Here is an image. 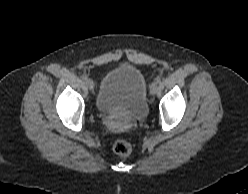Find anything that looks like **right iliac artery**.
<instances>
[{"label": "right iliac artery", "mask_w": 248, "mask_h": 194, "mask_svg": "<svg viewBox=\"0 0 248 194\" xmlns=\"http://www.w3.org/2000/svg\"><path fill=\"white\" fill-rule=\"evenodd\" d=\"M82 79H83V81H87L88 80L87 76H83Z\"/></svg>", "instance_id": "82829eb1"}]
</instances>
